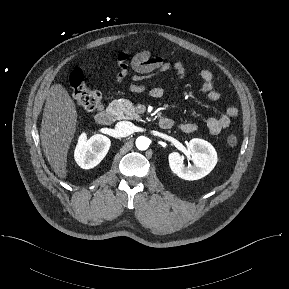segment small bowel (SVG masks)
Masks as SVG:
<instances>
[{
  "label": "small bowel",
  "mask_w": 289,
  "mask_h": 289,
  "mask_svg": "<svg viewBox=\"0 0 289 289\" xmlns=\"http://www.w3.org/2000/svg\"><path fill=\"white\" fill-rule=\"evenodd\" d=\"M119 71L116 75V81L121 83L128 75L129 67L139 75H149L154 72H165L171 67L174 68L176 78L183 80L188 73L186 66L177 61L173 65L164 61L161 56H154L148 50H143L131 55L129 52H121L117 57ZM134 76L133 81L139 82L131 85L130 89L133 92H142L145 89V84L142 82L144 76ZM202 85L203 94L212 101L220 99L221 94L214 87V76L209 70H202L199 74ZM164 90L161 87H154L150 90V95L153 98L163 96ZM238 114V109L235 106L229 107L224 114L219 117H210L206 120V127L209 133L213 135L219 134L221 131L229 127L231 120ZM180 129L185 133H192L197 130V125L194 123L184 122L179 125Z\"/></svg>",
  "instance_id": "c3829d8e"
}]
</instances>
